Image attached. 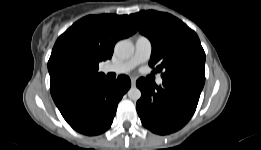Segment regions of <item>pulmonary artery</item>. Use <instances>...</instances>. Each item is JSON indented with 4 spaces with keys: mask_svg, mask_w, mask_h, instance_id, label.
<instances>
[{
    "mask_svg": "<svg viewBox=\"0 0 261 150\" xmlns=\"http://www.w3.org/2000/svg\"><path fill=\"white\" fill-rule=\"evenodd\" d=\"M152 53L151 41L145 36H138L135 41V50L133 55L119 63L106 65L103 69L104 72H112L116 74H124L133 70L139 64H142L149 60ZM158 85L163 83V78L159 76L156 79Z\"/></svg>",
    "mask_w": 261,
    "mask_h": 150,
    "instance_id": "obj_1",
    "label": "pulmonary artery"
}]
</instances>
